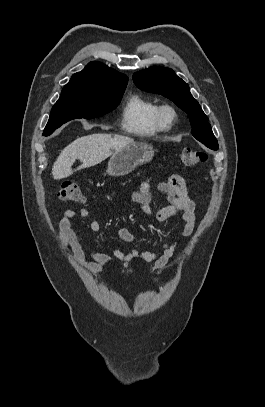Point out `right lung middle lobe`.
<instances>
[{"instance_id": "dd1d6c3e", "label": "right lung middle lobe", "mask_w": 265, "mask_h": 407, "mask_svg": "<svg viewBox=\"0 0 265 407\" xmlns=\"http://www.w3.org/2000/svg\"><path fill=\"white\" fill-rule=\"evenodd\" d=\"M126 86L93 81L69 82L52 108L43 135H50L72 119H92L109 113L119 105Z\"/></svg>"}]
</instances>
